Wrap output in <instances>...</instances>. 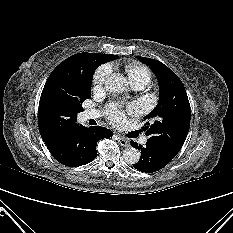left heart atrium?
<instances>
[{
  "instance_id": "1",
  "label": "left heart atrium",
  "mask_w": 233,
  "mask_h": 233,
  "mask_svg": "<svg viewBox=\"0 0 233 233\" xmlns=\"http://www.w3.org/2000/svg\"><path fill=\"white\" fill-rule=\"evenodd\" d=\"M106 111L110 121L116 125H119L125 121L126 114H136L138 112V107L135 104H129L126 106L110 104Z\"/></svg>"
}]
</instances>
